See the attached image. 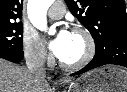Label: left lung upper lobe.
Instances as JSON below:
<instances>
[{
  "mask_svg": "<svg viewBox=\"0 0 127 92\" xmlns=\"http://www.w3.org/2000/svg\"><path fill=\"white\" fill-rule=\"evenodd\" d=\"M71 13L95 40L96 50L115 39H127L124 0H65Z\"/></svg>",
  "mask_w": 127,
  "mask_h": 92,
  "instance_id": "1",
  "label": "left lung upper lobe"
}]
</instances>
